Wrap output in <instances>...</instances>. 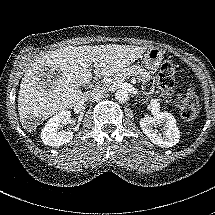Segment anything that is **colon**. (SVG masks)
Instances as JSON below:
<instances>
[{
  "mask_svg": "<svg viewBox=\"0 0 215 215\" xmlns=\"http://www.w3.org/2000/svg\"><path fill=\"white\" fill-rule=\"evenodd\" d=\"M176 65L172 60H165L157 75V84L163 96L170 100L187 118H195L198 113L196 97L189 94L185 96L175 91Z\"/></svg>",
  "mask_w": 215,
  "mask_h": 215,
  "instance_id": "1",
  "label": "colon"
}]
</instances>
